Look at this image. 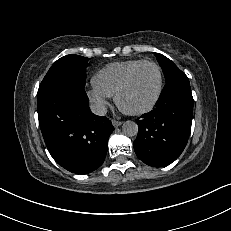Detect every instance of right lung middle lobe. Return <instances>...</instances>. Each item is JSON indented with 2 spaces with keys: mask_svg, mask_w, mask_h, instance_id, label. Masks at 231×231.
Masks as SVG:
<instances>
[{
  "mask_svg": "<svg viewBox=\"0 0 231 231\" xmlns=\"http://www.w3.org/2000/svg\"><path fill=\"white\" fill-rule=\"evenodd\" d=\"M88 58L79 55H66L58 59L47 72L38 93L53 84L73 80L85 86Z\"/></svg>",
  "mask_w": 231,
  "mask_h": 231,
  "instance_id": "dd1d6c3e",
  "label": "right lung middle lobe"
}]
</instances>
